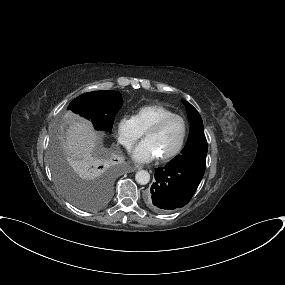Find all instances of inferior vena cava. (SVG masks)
<instances>
[{"mask_svg": "<svg viewBox=\"0 0 285 285\" xmlns=\"http://www.w3.org/2000/svg\"><path fill=\"white\" fill-rule=\"evenodd\" d=\"M124 145L127 146V147H129V146L131 145V143H130L129 140H125V141H124Z\"/></svg>", "mask_w": 285, "mask_h": 285, "instance_id": "602c4592", "label": "inferior vena cava"}]
</instances>
